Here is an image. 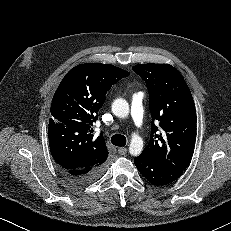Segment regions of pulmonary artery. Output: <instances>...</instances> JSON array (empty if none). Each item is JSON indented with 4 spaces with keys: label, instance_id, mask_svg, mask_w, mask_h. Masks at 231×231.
Wrapping results in <instances>:
<instances>
[{
    "label": "pulmonary artery",
    "instance_id": "1",
    "mask_svg": "<svg viewBox=\"0 0 231 231\" xmlns=\"http://www.w3.org/2000/svg\"><path fill=\"white\" fill-rule=\"evenodd\" d=\"M143 98L142 92H137L132 95L130 116L136 127L140 128L143 124Z\"/></svg>",
    "mask_w": 231,
    "mask_h": 231
}]
</instances>
